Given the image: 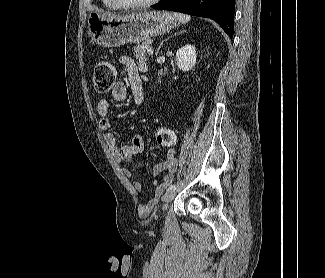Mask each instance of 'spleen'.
Instances as JSON below:
<instances>
[{
  "mask_svg": "<svg viewBox=\"0 0 325 278\" xmlns=\"http://www.w3.org/2000/svg\"><path fill=\"white\" fill-rule=\"evenodd\" d=\"M181 23H188L191 19L189 15L182 14V13H174L173 14Z\"/></svg>",
  "mask_w": 325,
  "mask_h": 278,
  "instance_id": "spleen-1",
  "label": "spleen"
}]
</instances>
